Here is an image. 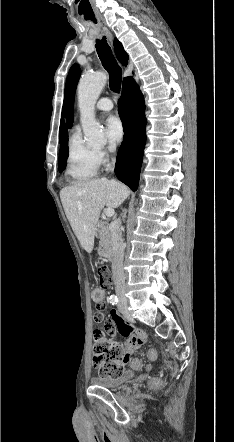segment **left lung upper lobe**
Instances as JSON below:
<instances>
[{
  "label": "left lung upper lobe",
  "mask_w": 234,
  "mask_h": 442,
  "mask_svg": "<svg viewBox=\"0 0 234 442\" xmlns=\"http://www.w3.org/2000/svg\"><path fill=\"white\" fill-rule=\"evenodd\" d=\"M81 74L80 67L77 64L72 65L67 76L65 94H64V109L65 117L67 119L68 127L73 123V104L77 83Z\"/></svg>",
  "instance_id": "5c2ea615"
}]
</instances>
